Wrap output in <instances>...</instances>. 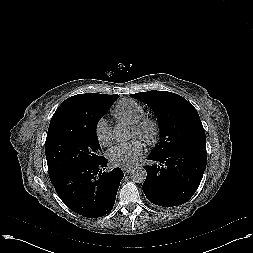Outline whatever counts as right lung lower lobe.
Returning <instances> with one entry per match:
<instances>
[{"label":"right lung lower lobe","instance_id":"right-lung-lower-lobe-1","mask_svg":"<svg viewBox=\"0 0 253 253\" xmlns=\"http://www.w3.org/2000/svg\"><path fill=\"white\" fill-rule=\"evenodd\" d=\"M107 160L86 163L49 174L60 199L74 212L88 218L108 214L115 203L124 173L120 168L103 172Z\"/></svg>","mask_w":253,"mask_h":253}]
</instances>
